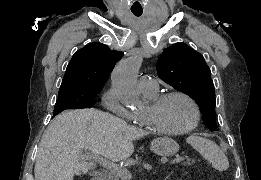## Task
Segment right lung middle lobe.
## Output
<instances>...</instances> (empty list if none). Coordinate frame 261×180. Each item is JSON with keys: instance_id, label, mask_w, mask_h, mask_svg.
<instances>
[{"instance_id": "dd1d6c3e", "label": "right lung middle lobe", "mask_w": 261, "mask_h": 180, "mask_svg": "<svg viewBox=\"0 0 261 180\" xmlns=\"http://www.w3.org/2000/svg\"><path fill=\"white\" fill-rule=\"evenodd\" d=\"M100 91L101 89L80 86L60 88L53 116L65 109L91 108Z\"/></svg>"}]
</instances>
